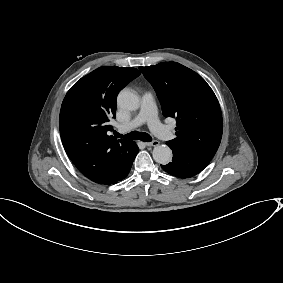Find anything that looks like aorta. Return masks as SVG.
Instances as JSON below:
<instances>
[{
	"label": "aorta",
	"instance_id": "aorta-1",
	"mask_svg": "<svg viewBox=\"0 0 283 283\" xmlns=\"http://www.w3.org/2000/svg\"><path fill=\"white\" fill-rule=\"evenodd\" d=\"M139 97L130 91H122L117 98L118 106L122 109L133 111L139 108ZM153 159L159 164H169L172 160V150L167 145H158L153 149Z\"/></svg>",
	"mask_w": 283,
	"mask_h": 283
}]
</instances>
